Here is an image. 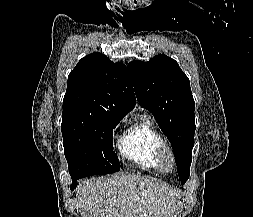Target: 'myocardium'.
Returning <instances> with one entry per match:
<instances>
[{
    "instance_id": "myocardium-1",
    "label": "myocardium",
    "mask_w": 253,
    "mask_h": 217,
    "mask_svg": "<svg viewBox=\"0 0 253 217\" xmlns=\"http://www.w3.org/2000/svg\"><path fill=\"white\" fill-rule=\"evenodd\" d=\"M160 168L163 172L169 173L176 168V158L172 147L163 142L157 151Z\"/></svg>"
}]
</instances>
